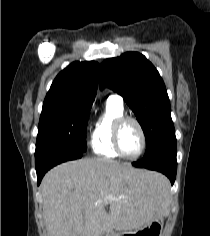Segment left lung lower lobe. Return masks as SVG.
<instances>
[{
    "label": "left lung lower lobe",
    "instance_id": "left-lung-lower-lobe-1",
    "mask_svg": "<svg viewBox=\"0 0 210 236\" xmlns=\"http://www.w3.org/2000/svg\"><path fill=\"white\" fill-rule=\"evenodd\" d=\"M177 143L176 137L172 136L158 143L141 160L134 162L136 167L159 171L165 174L174 184L177 170Z\"/></svg>",
    "mask_w": 210,
    "mask_h": 236
}]
</instances>
